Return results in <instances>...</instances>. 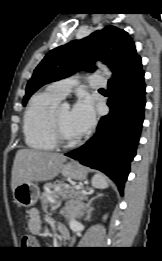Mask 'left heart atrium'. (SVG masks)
Here are the masks:
<instances>
[{
	"label": "left heart atrium",
	"mask_w": 162,
	"mask_h": 261,
	"mask_svg": "<svg viewBox=\"0 0 162 261\" xmlns=\"http://www.w3.org/2000/svg\"><path fill=\"white\" fill-rule=\"evenodd\" d=\"M95 113L90 99L82 98L77 101L70 112V123L79 134H85L94 125Z\"/></svg>",
	"instance_id": "39dd6f15"
}]
</instances>
